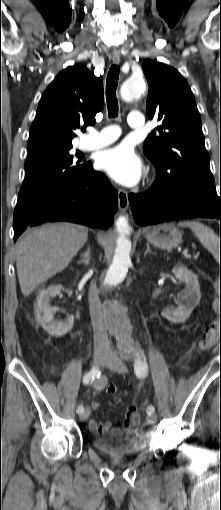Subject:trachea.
I'll return each mask as SVG.
<instances>
[{
	"label": "trachea",
	"instance_id": "1",
	"mask_svg": "<svg viewBox=\"0 0 221 510\" xmlns=\"http://www.w3.org/2000/svg\"><path fill=\"white\" fill-rule=\"evenodd\" d=\"M119 67L117 65L111 66L106 79V101L108 108V116L117 117L118 115V100L116 97V89L119 79Z\"/></svg>",
	"mask_w": 221,
	"mask_h": 510
}]
</instances>
